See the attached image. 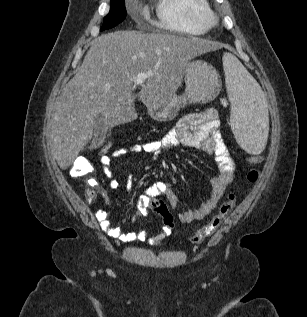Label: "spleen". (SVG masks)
<instances>
[{
  "label": "spleen",
  "mask_w": 307,
  "mask_h": 317,
  "mask_svg": "<svg viewBox=\"0 0 307 317\" xmlns=\"http://www.w3.org/2000/svg\"><path fill=\"white\" fill-rule=\"evenodd\" d=\"M231 128L237 143L250 154L264 150L268 137V110L261 87L232 54L223 55Z\"/></svg>",
  "instance_id": "3e777b00"
}]
</instances>
